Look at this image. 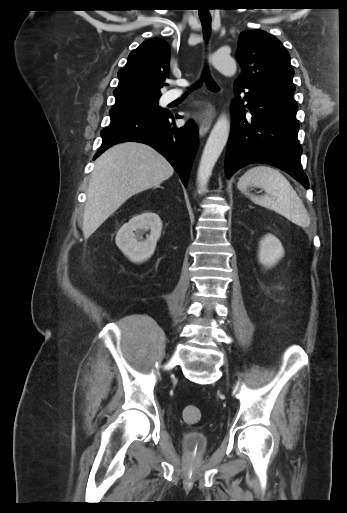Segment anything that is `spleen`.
Wrapping results in <instances>:
<instances>
[{
	"label": "spleen",
	"mask_w": 347,
	"mask_h": 513,
	"mask_svg": "<svg viewBox=\"0 0 347 513\" xmlns=\"http://www.w3.org/2000/svg\"><path fill=\"white\" fill-rule=\"evenodd\" d=\"M250 186L262 188L266 194H251ZM238 189L255 204L273 210L302 227L309 226L310 217L302 200L279 170L269 166L251 168L239 179Z\"/></svg>",
	"instance_id": "1"
}]
</instances>
